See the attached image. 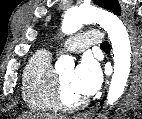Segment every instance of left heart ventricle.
<instances>
[{
  "mask_svg": "<svg viewBox=\"0 0 142 119\" xmlns=\"http://www.w3.org/2000/svg\"><path fill=\"white\" fill-rule=\"evenodd\" d=\"M72 74H73L72 70H67L59 75L63 86L64 99L68 103H74L77 100L83 98L72 88L71 85Z\"/></svg>",
  "mask_w": 142,
  "mask_h": 119,
  "instance_id": "left-heart-ventricle-1",
  "label": "left heart ventricle"
}]
</instances>
